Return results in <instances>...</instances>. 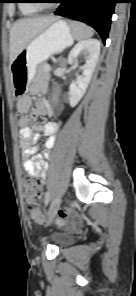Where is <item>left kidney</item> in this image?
<instances>
[{"mask_svg":"<svg viewBox=\"0 0 136 296\" xmlns=\"http://www.w3.org/2000/svg\"><path fill=\"white\" fill-rule=\"evenodd\" d=\"M101 44L97 39H86L79 41L68 55V63L73 64L80 53L86 54L85 64L81 67L82 75L77 76L76 80L69 87V103L75 107L83 97L88 84L91 80L93 71L98 61Z\"/></svg>","mask_w":136,"mask_h":296,"instance_id":"1","label":"left kidney"}]
</instances>
